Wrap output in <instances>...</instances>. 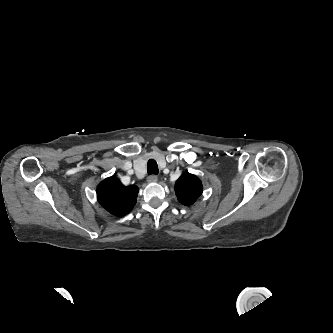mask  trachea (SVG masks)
I'll list each match as a JSON object with an SVG mask.
<instances>
[{
  "mask_svg": "<svg viewBox=\"0 0 333 333\" xmlns=\"http://www.w3.org/2000/svg\"><path fill=\"white\" fill-rule=\"evenodd\" d=\"M147 172L149 175L151 174H158L159 173V170H158V165H157V162L153 159H150L147 163Z\"/></svg>",
  "mask_w": 333,
  "mask_h": 333,
  "instance_id": "obj_1",
  "label": "trachea"
}]
</instances>
